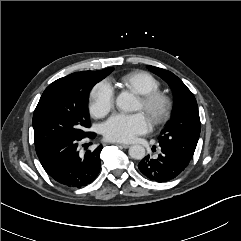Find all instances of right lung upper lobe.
<instances>
[{
    "mask_svg": "<svg viewBox=\"0 0 241 241\" xmlns=\"http://www.w3.org/2000/svg\"><path fill=\"white\" fill-rule=\"evenodd\" d=\"M111 71H112V68H107L100 71H83V72H77V73H86V74L95 75V76H107Z\"/></svg>",
    "mask_w": 241,
    "mask_h": 241,
    "instance_id": "1",
    "label": "right lung upper lobe"
}]
</instances>
